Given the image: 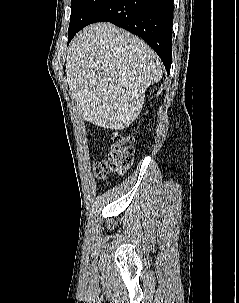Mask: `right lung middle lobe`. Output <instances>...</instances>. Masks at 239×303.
<instances>
[{"instance_id": "right-lung-middle-lobe-1", "label": "right lung middle lobe", "mask_w": 239, "mask_h": 303, "mask_svg": "<svg viewBox=\"0 0 239 303\" xmlns=\"http://www.w3.org/2000/svg\"><path fill=\"white\" fill-rule=\"evenodd\" d=\"M105 0H71V16L68 29V41L82 29L90 15Z\"/></svg>"}]
</instances>
